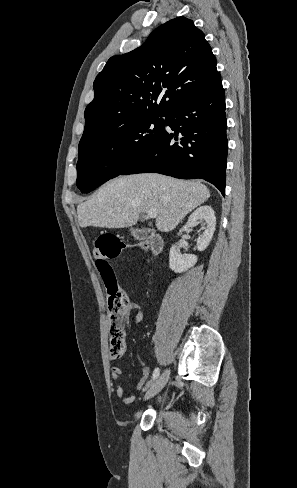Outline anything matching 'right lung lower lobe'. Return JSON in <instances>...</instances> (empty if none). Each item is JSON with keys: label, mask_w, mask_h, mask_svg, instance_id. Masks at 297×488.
<instances>
[{"label": "right lung lower lobe", "mask_w": 297, "mask_h": 488, "mask_svg": "<svg viewBox=\"0 0 297 488\" xmlns=\"http://www.w3.org/2000/svg\"><path fill=\"white\" fill-rule=\"evenodd\" d=\"M152 144L121 175L160 173L204 179L225 195L228 141L225 93L221 79L187 99L166 116Z\"/></svg>", "instance_id": "1"}]
</instances>
